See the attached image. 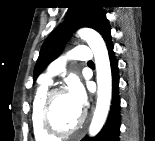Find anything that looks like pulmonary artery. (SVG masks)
Instances as JSON below:
<instances>
[{
	"mask_svg": "<svg viewBox=\"0 0 155 141\" xmlns=\"http://www.w3.org/2000/svg\"><path fill=\"white\" fill-rule=\"evenodd\" d=\"M69 58L74 59L76 61H81V62H89L92 59L91 56V51L89 49V47L82 45V46H78L76 48H74L70 53H69ZM65 64V59H59L57 60L51 69L52 73H56L58 71H60ZM50 78V75H43L42 76V80L44 82H47Z\"/></svg>",
	"mask_w": 155,
	"mask_h": 141,
	"instance_id": "e3ab8cb5",
	"label": "pulmonary artery"
}]
</instances>
